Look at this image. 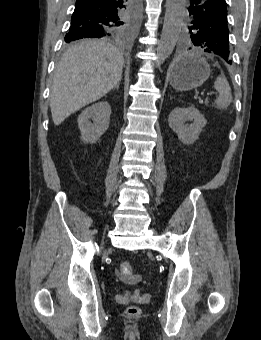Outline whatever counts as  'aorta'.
Returning a JSON list of instances; mask_svg holds the SVG:
<instances>
[{"instance_id": "aorta-1", "label": "aorta", "mask_w": 261, "mask_h": 340, "mask_svg": "<svg viewBox=\"0 0 261 340\" xmlns=\"http://www.w3.org/2000/svg\"><path fill=\"white\" fill-rule=\"evenodd\" d=\"M186 0H166V12L163 29L157 47L156 67L171 55L178 41L181 28L182 17L185 13Z\"/></svg>"}]
</instances>
